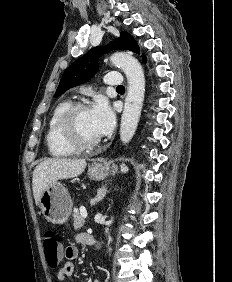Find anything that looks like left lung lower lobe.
Returning a JSON list of instances; mask_svg holds the SVG:
<instances>
[{
    "instance_id": "obj_1",
    "label": "left lung lower lobe",
    "mask_w": 232,
    "mask_h": 282,
    "mask_svg": "<svg viewBox=\"0 0 232 282\" xmlns=\"http://www.w3.org/2000/svg\"><path fill=\"white\" fill-rule=\"evenodd\" d=\"M142 58H143V61L145 62V61H146V58H145V56H144V55H142Z\"/></svg>"
}]
</instances>
